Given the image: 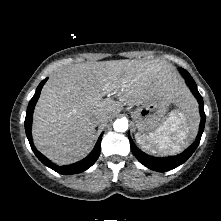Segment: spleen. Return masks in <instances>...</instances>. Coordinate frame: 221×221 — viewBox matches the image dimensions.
<instances>
[{
	"label": "spleen",
	"mask_w": 221,
	"mask_h": 221,
	"mask_svg": "<svg viewBox=\"0 0 221 221\" xmlns=\"http://www.w3.org/2000/svg\"><path fill=\"white\" fill-rule=\"evenodd\" d=\"M197 127V114L188 107L173 110L157 133L136 134L135 139L141 147L151 153L174 155L186 148L194 138Z\"/></svg>",
	"instance_id": "obj_1"
}]
</instances>
